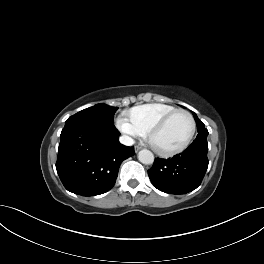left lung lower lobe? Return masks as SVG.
Returning <instances> with one entry per match:
<instances>
[{"mask_svg": "<svg viewBox=\"0 0 264 264\" xmlns=\"http://www.w3.org/2000/svg\"><path fill=\"white\" fill-rule=\"evenodd\" d=\"M207 152V140L195 139L181 154L171 159H155L148 170L152 184L169 194H185L196 189L208 168Z\"/></svg>", "mask_w": 264, "mask_h": 264, "instance_id": "left-lung-lower-lobe-1", "label": "left lung lower lobe"}]
</instances>
